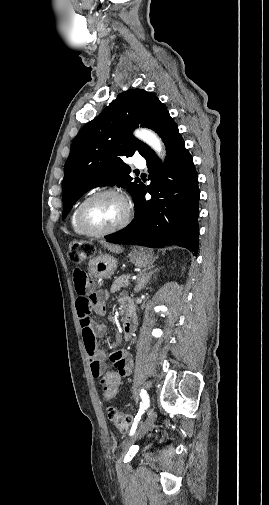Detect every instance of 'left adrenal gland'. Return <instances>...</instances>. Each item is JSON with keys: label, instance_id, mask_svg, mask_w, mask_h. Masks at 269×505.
<instances>
[{"label": "left adrenal gland", "instance_id": "1", "mask_svg": "<svg viewBox=\"0 0 269 505\" xmlns=\"http://www.w3.org/2000/svg\"><path fill=\"white\" fill-rule=\"evenodd\" d=\"M153 268H154V266H151L147 269L142 270L138 274L136 286L134 288L135 292H140L146 286V284L149 282L151 276L158 271V268H155V269H153Z\"/></svg>", "mask_w": 269, "mask_h": 505}]
</instances>
